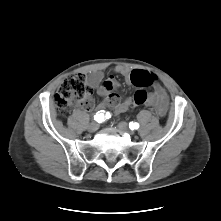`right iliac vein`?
Returning a JSON list of instances; mask_svg holds the SVG:
<instances>
[{
  "label": "right iliac vein",
  "mask_w": 221,
  "mask_h": 221,
  "mask_svg": "<svg viewBox=\"0 0 221 221\" xmlns=\"http://www.w3.org/2000/svg\"><path fill=\"white\" fill-rule=\"evenodd\" d=\"M98 128H99V124L96 123V122H92V123H90L89 126H88V131L91 132V133H93V132L97 131Z\"/></svg>",
  "instance_id": "1"
}]
</instances>
